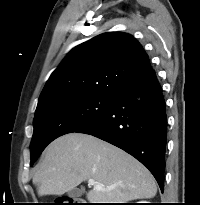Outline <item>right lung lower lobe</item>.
Instances as JSON below:
<instances>
[{
  "label": "right lung lower lobe",
  "instance_id": "obj_1",
  "mask_svg": "<svg viewBox=\"0 0 200 205\" xmlns=\"http://www.w3.org/2000/svg\"><path fill=\"white\" fill-rule=\"evenodd\" d=\"M166 104L151 70L120 93L107 112L77 130L109 142L144 164L164 189L167 135Z\"/></svg>",
  "mask_w": 200,
  "mask_h": 205
}]
</instances>
